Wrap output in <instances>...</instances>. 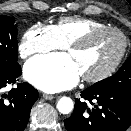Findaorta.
<instances>
[{
    "mask_svg": "<svg viewBox=\"0 0 131 131\" xmlns=\"http://www.w3.org/2000/svg\"><path fill=\"white\" fill-rule=\"evenodd\" d=\"M74 108V103L69 97H62L57 103V109L62 114H69Z\"/></svg>",
    "mask_w": 131,
    "mask_h": 131,
    "instance_id": "aorta-1",
    "label": "aorta"
}]
</instances>
